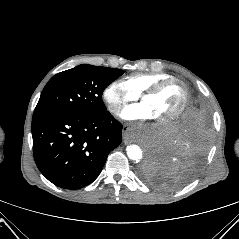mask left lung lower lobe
Here are the masks:
<instances>
[{"instance_id":"left-lung-lower-lobe-1","label":"left lung lower lobe","mask_w":239,"mask_h":239,"mask_svg":"<svg viewBox=\"0 0 239 239\" xmlns=\"http://www.w3.org/2000/svg\"><path fill=\"white\" fill-rule=\"evenodd\" d=\"M209 116L193 101L170 132L152 147L143 173L154 186L169 190L189 182L209 146Z\"/></svg>"}]
</instances>
